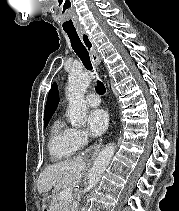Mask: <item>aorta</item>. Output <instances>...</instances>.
Segmentation results:
<instances>
[{"label": "aorta", "instance_id": "obj_1", "mask_svg": "<svg viewBox=\"0 0 179 211\" xmlns=\"http://www.w3.org/2000/svg\"><path fill=\"white\" fill-rule=\"evenodd\" d=\"M91 79L92 76L89 72H72L69 75L66 90V97L69 102L67 116L73 127H81L85 124L87 108L84 95L91 83ZM114 152L115 145L108 144L98 154L90 170L87 191L91 190L99 182Z\"/></svg>", "mask_w": 179, "mask_h": 211}]
</instances>
